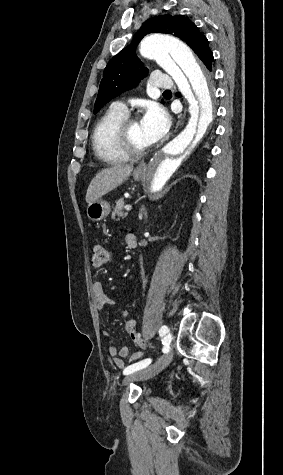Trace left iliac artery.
Masks as SVG:
<instances>
[{"label": "left iliac artery", "mask_w": 283, "mask_h": 475, "mask_svg": "<svg viewBox=\"0 0 283 475\" xmlns=\"http://www.w3.org/2000/svg\"><path fill=\"white\" fill-rule=\"evenodd\" d=\"M168 331H169V329H168L167 326H165V325L162 326L159 330L160 336H164ZM169 343H170V341H169ZM150 363H151V359L149 358V359H145L143 361H140L138 363H135L133 365H130L127 368L124 369L123 374L124 375H129V374H131L135 371H138L140 369H143V368L147 367Z\"/></svg>", "instance_id": "44dca946"}]
</instances>
